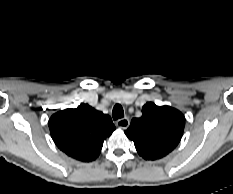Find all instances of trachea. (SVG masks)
Instances as JSON below:
<instances>
[{
	"label": "trachea",
	"instance_id": "1",
	"mask_svg": "<svg viewBox=\"0 0 233 194\" xmlns=\"http://www.w3.org/2000/svg\"><path fill=\"white\" fill-rule=\"evenodd\" d=\"M112 116L114 120L121 119L124 117V111L120 104H116L112 111Z\"/></svg>",
	"mask_w": 233,
	"mask_h": 194
}]
</instances>
